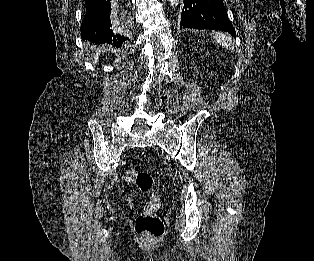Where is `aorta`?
<instances>
[{
	"label": "aorta",
	"mask_w": 314,
	"mask_h": 261,
	"mask_svg": "<svg viewBox=\"0 0 314 261\" xmlns=\"http://www.w3.org/2000/svg\"><path fill=\"white\" fill-rule=\"evenodd\" d=\"M169 2L171 3V6H177L179 3V0H169Z\"/></svg>",
	"instance_id": "1"
}]
</instances>
